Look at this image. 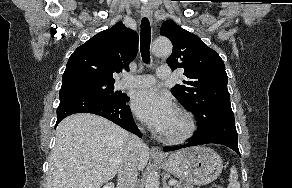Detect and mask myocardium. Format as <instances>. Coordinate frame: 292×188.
<instances>
[{"instance_id": "myocardium-1", "label": "myocardium", "mask_w": 292, "mask_h": 188, "mask_svg": "<svg viewBox=\"0 0 292 188\" xmlns=\"http://www.w3.org/2000/svg\"><path fill=\"white\" fill-rule=\"evenodd\" d=\"M177 113L184 119L185 128L175 134H164L163 139L170 144L182 143L191 138L196 131V122L190 112L184 109H178Z\"/></svg>"}]
</instances>
